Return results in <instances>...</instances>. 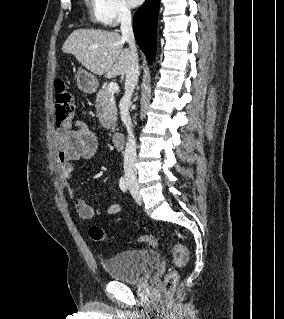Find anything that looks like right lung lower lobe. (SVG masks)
<instances>
[{"mask_svg": "<svg viewBox=\"0 0 284 319\" xmlns=\"http://www.w3.org/2000/svg\"><path fill=\"white\" fill-rule=\"evenodd\" d=\"M158 8L159 0H146L133 21L136 41L150 64L155 55Z\"/></svg>", "mask_w": 284, "mask_h": 319, "instance_id": "98d812e1", "label": "right lung lower lobe"}]
</instances>
